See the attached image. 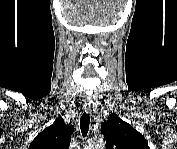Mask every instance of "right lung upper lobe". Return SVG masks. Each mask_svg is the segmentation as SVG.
I'll return each mask as SVG.
<instances>
[{
  "mask_svg": "<svg viewBox=\"0 0 177 149\" xmlns=\"http://www.w3.org/2000/svg\"><path fill=\"white\" fill-rule=\"evenodd\" d=\"M74 128L66 125L61 117L46 127L32 141L30 149H68Z\"/></svg>",
  "mask_w": 177,
  "mask_h": 149,
  "instance_id": "obj_1",
  "label": "right lung upper lobe"
}]
</instances>
